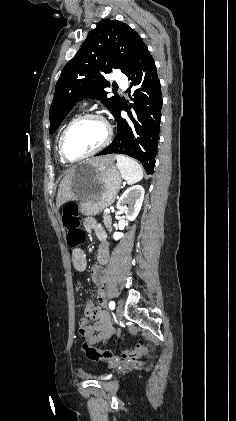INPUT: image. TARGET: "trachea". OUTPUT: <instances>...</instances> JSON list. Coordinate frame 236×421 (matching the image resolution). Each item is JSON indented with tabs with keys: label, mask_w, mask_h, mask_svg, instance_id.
Listing matches in <instances>:
<instances>
[{
	"label": "trachea",
	"mask_w": 236,
	"mask_h": 421,
	"mask_svg": "<svg viewBox=\"0 0 236 421\" xmlns=\"http://www.w3.org/2000/svg\"><path fill=\"white\" fill-rule=\"evenodd\" d=\"M117 89H118V86L117 85L113 87V90H117Z\"/></svg>",
	"instance_id": "1"
}]
</instances>
